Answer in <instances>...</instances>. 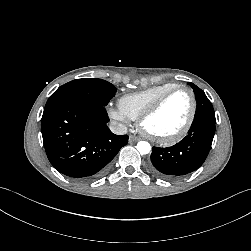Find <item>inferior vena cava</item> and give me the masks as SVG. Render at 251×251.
<instances>
[{
	"mask_svg": "<svg viewBox=\"0 0 251 251\" xmlns=\"http://www.w3.org/2000/svg\"><path fill=\"white\" fill-rule=\"evenodd\" d=\"M109 128L116 135H124L127 133V127L121 123L112 122Z\"/></svg>",
	"mask_w": 251,
	"mask_h": 251,
	"instance_id": "1",
	"label": "inferior vena cava"
}]
</instances>
